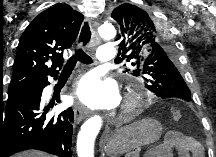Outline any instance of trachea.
I'll list each match as a JSON object with an SVG mask.
<instances>
[{
    "instance_id": "trachea-1",
    "label": "trachea",
    "mask_w": 216,
    "mask_h": 157,
    "mask_svg": "<svg viewBox=\"0 0 216 157\" xmlns=\"http://www.w3.org/2000/svg\"><path fill=\"white\" fill-rule=\"evenodd\" d=\"M90 35L91 34H90L89 27H87V35L86 36L84 35L82 37L84 42L89 40ZM78 60L84 64H91L93 62L92 58L88 56L81 48H79L75 51V54L65 64L62 74H70L73 71Z\"/></svg>"
}]
</instances>
